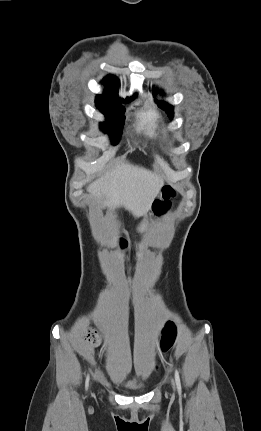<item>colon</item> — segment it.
<instances>
[{"label":"colon","mask_w":261,"mask_h":431,"mask_svg":"<svg viewBox=\"0 0 261 431\" xmlns=\"http://www.w3.org/2000/svg\"><path fill=\"white\" fill-rule=\"evenodd\" d=\"M175 194V190L172 187L168 185L164 186L161 191L160 199H158L154 204V212L160 215L166 211L170 206V199L173 198ZM85 338L92 345L97 346L100 343L99 334L95 329H87ZM175 338V327L171 324H168L163 331L161 350L166 352L173 345Z\"/></svg>","instance_id":"obj_1"}]
</instances>
